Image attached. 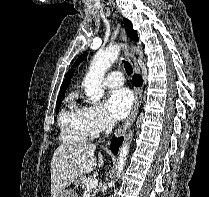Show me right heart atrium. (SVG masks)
<instances>
[{
	"instance_id": "obj_1",
	"label": "right heart atrium",
	"mask_w": 209,
	"mask_h": 197,
	"mask_svg": "<svg viewBox=\"0 0 209 197\" xmlns=\"http://www.w3.org/2000/svg\"><path fill=\"white\" fill-rule=\"evenodd\" d=\"M84 116L90 135L95 137L112 126V120L99 105L84 106Z\"/></svg>"
}]
</instances>
